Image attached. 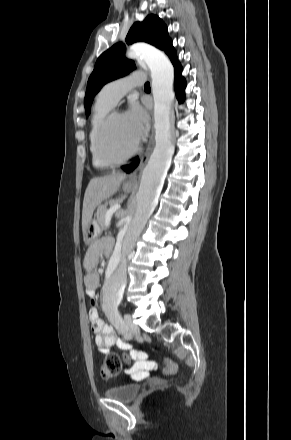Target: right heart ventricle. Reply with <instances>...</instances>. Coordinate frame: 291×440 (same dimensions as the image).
I'll use <instances>...</instances> for the list:
<instances>
[{
	"instance_id": "e07e8e85",
	"label": "right heart ventricle",
	"mask_w": 291,
	"mask_h": 440,
	"mask_svg": "<svg viewBox=\"0 0 291 440\" xmlns=\"http://www.w3.org/2000/svg\"><path fill=\"white\" fill-rule=\"evenodd\" d=\"M112 106L108 105L106 102L102 101L99 98V95L96 97L95 105L93 108V113L91 117V126L89 131V148L92 156V162L95 167L98 168H108L113 164H110L104 161L97 149V131L100 123L104 119V117L110 112Z\"/></svg>"
}]
</instances>
